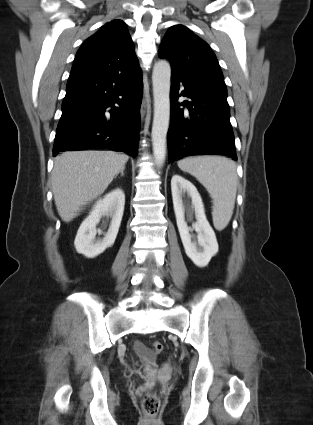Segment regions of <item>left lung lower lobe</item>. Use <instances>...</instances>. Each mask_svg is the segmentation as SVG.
Instances as JSON below:
<instances>
[{
  "label": "left lung lower lobe",
  "mask_w": 313,
  "mask_h": 425,
  "mask_svg": "<svg viewBox=\"0 0 313 425\" xmlns=\"http://www.w3.org/2000/svg\"><path fill=\"white\" fill-rule=\"evenodd\" d=\"M180 86L184 89L179 94ZM180 96L188 100L179 103ZM170 104L169 162L191 155L237 160L226 90L195 85L171 74Z\"/></svg>",
  "instance_id": "0a47b994"
}]
</instances>
